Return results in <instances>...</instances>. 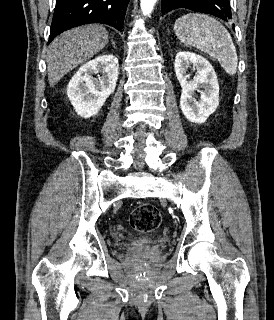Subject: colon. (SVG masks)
<instances>
[{
	"instance_id": "colon-1",
	"label": "colon",
	"mask_w": 274,
	"mask_h": 320,
	"mask_svg": "<svg viewBox=\"0 0 274 320\" xmlns=\"http://www.w3.org/2000/svg\"><path fill=\"white\" fill-rule=\"evenodd\" d=\"M162 221L160 211L149 202L136 205L131 213L132 228L139 233H148L155 230Z\"/></svg>"
}]
</instances>
